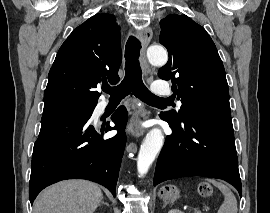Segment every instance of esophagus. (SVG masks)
<instances>
[{
    "label": "esophagus",
    "mask_w": 270,
    "mask_h": 213,
    "mask_svg": "<svg viewBox=\"0 0 270 213\" xmlns=\"http://www.w3.org/2000/svg\"><path fill=\"white\" fill-rule=\"evenodd\" d=\"M137 35H138V38L142 42L140 62H141L144 73L147 74L149 71V65L146 60V49L152 39L153 33H152L151 28L145 27L142 30L138 31ZM147 117H148L147 111L143 109H138L135 111L134 120L128 128L132 136L140 137L144 134L145 129L143 128V126H141L140 121L145 120Z\"/></svg>",
    "instance_id": "obj_1"
}]
</instances>
